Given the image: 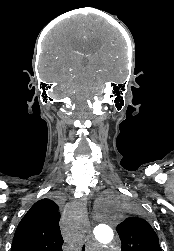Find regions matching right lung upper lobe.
<instances>
[{
  "instance_id": "obj_1",
  "label": "right lung upper lobe",
  "mask_w": 174,
  "mask_h": 251,
  "mask_svg": "<svg viewBox=\"0 0 174 251\" xmlns=\"http://www.w3.org/2000/svg\"><path fill=\"white\" fill-rule=\"evenodd\" d=\"M59 211L53 200L36 202L20 221L11 251H62Z\"/></svg>"
}]
</instances>
